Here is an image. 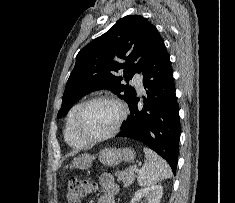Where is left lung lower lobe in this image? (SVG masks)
Masks as SVG:
<instances>
[{
	"mask_svg": "<svg viewBox=\"0 0 235 203\" xmlns=\"http://www.w3.org/2000/svg\"><path fill=\"white\" fill-rule=\"evenodd\" d=\"M147 98L139 108L135 97L129 103L130 116L116 137L135 139L163 157L174 175L179 152L180 120L171 62L161 38L142 69Z\"/></svg>",
	"mask_w": 235,
	"mask_h": 203,
	"instance_id": "obj_1",
	"label": "left lung lower lobe"
}]
</instances>
